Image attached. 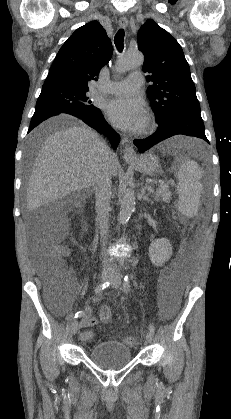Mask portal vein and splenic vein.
<instances>
[{"instance_id":"1","label":"portal vein and splenic vein","mask_w":231,"mask_h":419,"mask_svg":"<svg viewBox=\"0 0 231 419\" xmlns=\"http://www.w3.org/2000/svg\"><path fill=\"white\" fill-rule=\"evenodd\" d=\"M160 188L167 189L168 185L164 184L163 182H160Z\"/></svg>"}]
</instances>
